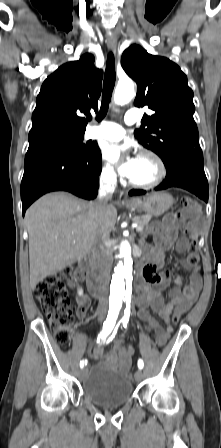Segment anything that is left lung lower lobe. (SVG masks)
<instances>
[{
	"label": "left lung lower lobe",
	"mask_w": 221,
	"mask_h": 448,
	"mask_svg": "<svg viewBox=\"0 0 221 448\" xmlns=\"http://www.w3.org/2000/svg\"><path fill=\"white\" fill-rule=\"evenodd\" d=\"M167 170L165 180L155 188L169 187L186 189L205 202L208 201V181L203 169L202 150L180 151L163 161ZM145 190H131L129 195H143Z\"/></svg>",
	"instance_id": "left-lung-lower-lobe-1"
}]
</instances>
